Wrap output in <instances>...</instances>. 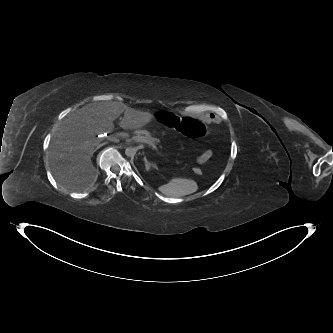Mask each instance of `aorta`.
I'll return each instance as SVG.
<instances>
[{"instance_id":"obj_1","label":"aorta","mask_w":333,"mask_h":333,"mask_svg":"<svg viewBox=\"0 0 333 333\" xmlns=\"http://www.w3.org/2000/svg\"><path fill=\"white\" fill-rule=\"evenodd\" d=\"M136 148L135 147H127L125 149V154L128 157H134L136 155Z\"/></svg>"}]
</instances>
